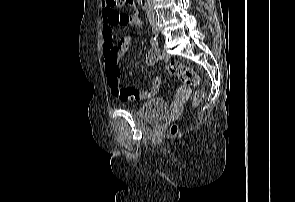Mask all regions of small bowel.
Segmentation results:
<instances>
[{"mask_svg":"<svg viewBox=\"0 0 295 202\" xmlns=\"http://www.w3.org/2000/svg\"><path fill=\"white\" fill-rule=\"evenodd\" d=\"M102 43L105 73L108 86L112 94L120 100L131 102H139L150 99L156 95L160 86V78L153 77L152 85L147 90H136L132 87H122L120 85L119 60L127 52L130 47L132 35L122 37L118 42L113 39L114 28L120 25L121 13L110 11L106 1L102 3ZM128 15V14H124ZM130 18L129 24L132 27L138 28L141 26L140 18L136 12L128 15ZM165 58L164 52L157 48L151 49L145 58L147 65H152L155 62ZM177 98L175 102H171V107H181V103H185V98H188L189 89L187 85H178Z\"/></svg>","mask_w":295,"mask_h":202,"instance_id":"small-bowel-1","label":"small bowel"}]
</instances>
